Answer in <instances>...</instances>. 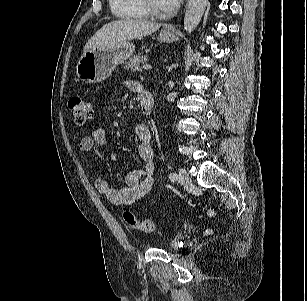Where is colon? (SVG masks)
I'll return each instance as SVG.
<instances>
[{"label":"colon","mask_w":307,"mask_h":301,"mask_svg":"<svg viewBox=\"0 0 307 301\" xmlns=\"http://www.w3.org/2000/svg\"><path fill=\"white\" fill-rule=\"evenodd\" d=\"M68 107L73 115L74 121L78 125L86 124L94 116V107L92 103L83 97H71L68 102ZM123 219L129 226L140 232L151 233L154 230V224L151 220L140 219L130 211H125L123 213Z\"/></svg>","instance_id":"colon-1"}]
</instances>
